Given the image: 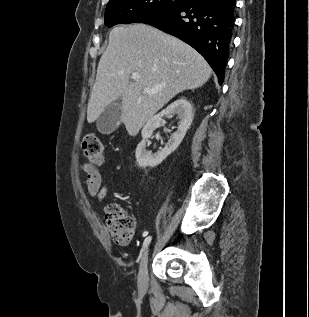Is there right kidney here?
<instances>
[{"instance_id":"obj_1","label":"right kidney","mask_w":309,"mask_h":317,"mask_svg":"<svg viewBox=\"0 0 309 317\" xmlns=\"http://www.w3.org/2000/svg\"><path fill=\"white\" fill-rule=\"evenodd\" d=\"M174 114H177L180 120L177 131L172 134L168 143L162 150L151 154L146 150V140L150 138L153 131L160 126L164 116H172ZM193 117L194 112L190 102L186 99H178L170 104L161 113L149 119L142 129L141 133L143 139L138 144L135 153L136 161L139 167H155L162 163V161L165 160L166 157L172 152H174L181 144L187 130L190 128Z\"/></svg>"}]
</instances>
